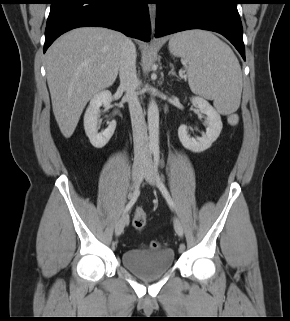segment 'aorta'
Listing matches in <instances>:
<instances>
[{
    "label": "aorta",
    "mask_w": 290,
    "mask_h": 321,
    "mask_svg": "<svg viewBox=\"0 0 290 321\" xmlns=\"http://www.w3.org/2000/svg\"><path fill=\"white\" fill-rule=\"evenodd\" d=\"M149 148L152 151L159 149V110L155 99L151 98L148 111Z\"/></svg>",
    "instance_id": "aorta-1"
}]
</instances>
